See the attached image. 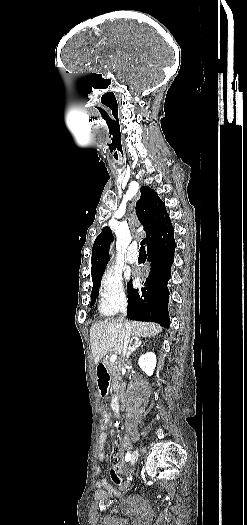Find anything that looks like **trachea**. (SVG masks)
Segmentation results:
<instances>
[{
	"label": "trachea",
	"mask_w": 247,
	"mask_h": 525,
	"mask_svg": "<svg viewBox=\"0 0 247 525\" xmlns=\"http://www.w3.org/2000/svg\"><path fill=\"white\" fill-rule=\"evenodd\" d=\"M145 244H146V239L142 240L140 245V253H146V250H145Z\"/></svg>",
	"instance_id": "trachea-1"
}]
</instances>
